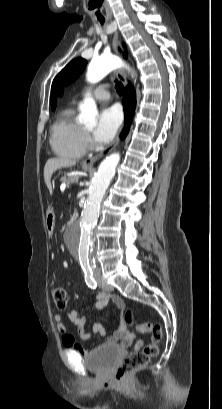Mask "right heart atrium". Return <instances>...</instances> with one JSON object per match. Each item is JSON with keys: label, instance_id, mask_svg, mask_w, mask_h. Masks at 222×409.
Masks as SVG:
<instances>
[{"label": "right heart atrium", "instance_id": "obj_1", "mask_svg": "<svg viewBox=\"0 0 222 409\" xmlns=\"http://www.w3.org/2000/svg\"><path fill=\"white\" fill-rule=\"evenodd\" d=\"M85 143H89V138L85 137Z\"/></svg>", "mask_w": 222, "mask_h": 409}]
</instances>
